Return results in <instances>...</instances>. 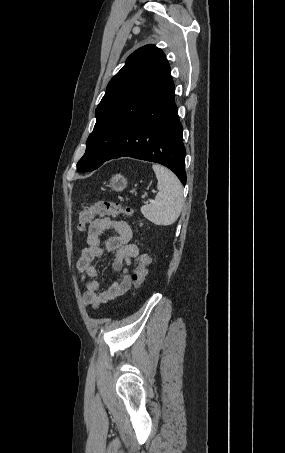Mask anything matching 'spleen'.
Here are the masks:
<instances>
[{"mask_svg":"<svg viewBox=\"0 0 285 453\" xmlns=\"http://www.w3.org/2000/svg\"><path fill=\"white\" fill-rule=\"evenodd\" d=\"M152 168L158 180V193L151 203L141 207V213L155 225L168 226L178 219L182 211V184L168 168L159 164H154Z\"/></svg>","mask_w":285,"mask_h":453,"instance_id":"spleen-1","label":"spleen"}]
</instances>
